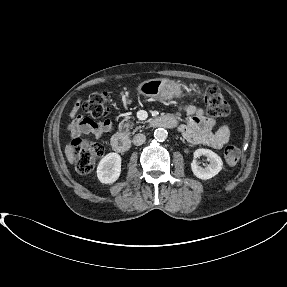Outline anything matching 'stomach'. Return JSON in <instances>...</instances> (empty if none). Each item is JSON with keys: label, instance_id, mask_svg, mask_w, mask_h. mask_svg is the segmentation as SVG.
<instances>
[{"label": "stomach", "instance_id": "stomach-1", "mask_svg": "<svg viewBox=\"0 0 287 287\" xmlns=\"http://www.w3.org/2000/svg\"><path fill=\"white\" fill-rule=\"evenodd\" d=\"M137 91L145 98L171 100L183 96V91L176 82L168 79H150L142 82Z\"/></svg>", "mask_w": 287, "mask_h": 287}]
</instances>
